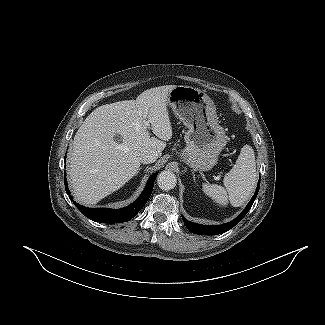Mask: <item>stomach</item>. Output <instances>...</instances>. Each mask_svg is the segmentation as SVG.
Here are the masks:
<instances>
[{
    "label": "stomach",
    "mask_w": 325,
    "mask_h": 325,
    "mask_svg": "<svg viewBox=\"0 0 325 325\" xmlns=\"http://www.w3.org/2000/svg\"><path fill=\"white\" fill-rule=\"evenodd\" d=\"M167 104L188 128L180 158L195 171L212 169L227 143L213 100L198 88L179 85L170 91Z\"/></svg>",
    "instance_id": "1"
}]
</instances>
